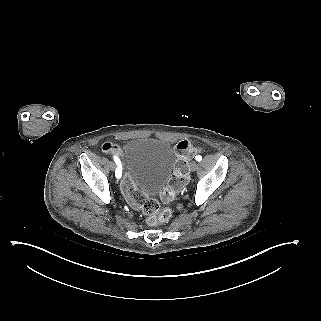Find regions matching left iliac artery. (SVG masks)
Wrapping results in <instances>:
<instances>
[{"label":"left iliac artery","mask_w":321,"mask_h":321,"mask_svg":"<svg viewBox=\"0 0 321 321\" xmlns=\"http://www.w3.org/2000/svg\"><path fill=\"white\" fill-rule=\"evenodd\" d=\"M196 160L197 161H201L202 160V157L200 155L196 156Z\"/></svg>","instance_id":"obj_1"}]
</instances>
